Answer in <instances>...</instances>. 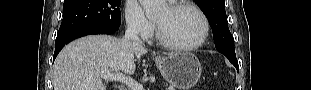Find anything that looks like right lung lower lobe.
Segmentation results:
<instances>
[{
  "label": "right lung lower lobe",
  "mask_w": 311,
  "mask_h": 90,
  "mask_svg": "<svg viewBox=\"0 0 311 90\" xmlns=\"http://www.w3.org/2000/svg\"><path fill=\"white\" fill-rule=\"evenodd\" d=\"M119 27H98V26H89L74 30L67 34L57 36L56 44H55V52L53 56V60H55L56 56L60 52V50L70 41L91 34H111L118 30Z\"/></svg>",
  "instance_id": "1"
}]
</instances>
